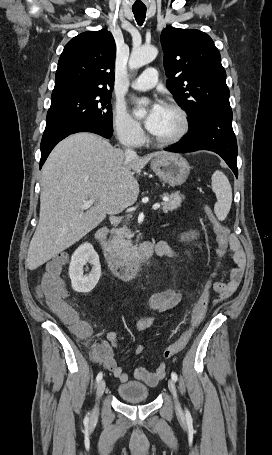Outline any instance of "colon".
Returning a JSON list of instances; mask_svg holds the SVG:
<instances>
[{
  "label": "colon",
  "instance_id": "1",
  "mask_svg": "<svg viewBox=\"0 0 272 455\" xmlns=\"http://www.w3.org/2000/svg\"><path fill=\"white\" fill-rule=\"evenodd\" d=\"M207 212L216 234L218 261L213 272L211 273L210 279L207 281L198 301L192 309L189 327L176 342L163 351V357L166 359L172 357L185 348L195 329L203 321L210 303L214 278L221 266V261L227 254L229 241L228 228L214 217L210 209H207ZM64 262L65 257L60 255L46 264L45 269L40 276L38 295L54 313H56L64 322L71 325L73 331L77 335L87 337L91 333L89 325L79 319L75 308L67 302L68 291L62 278Z\"/></svg>",
  "mask_w": 272,
  "mask_h": 455
}]
</instances>
